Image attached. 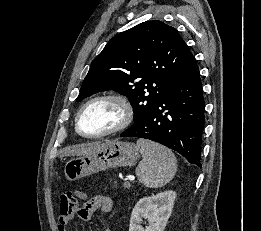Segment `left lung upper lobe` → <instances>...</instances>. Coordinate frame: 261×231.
<instances>
[{"instance_id":"1","label":"left lung upper lobe","mask_w":261,"mask_h":231,"mask_svg":"<svg viewBox=\"0 0 261 231\" xmlns=\"http://www.w3.org/2000/svg\"><path fill=\"white\" fill-rule=\"evenodd\" d=\"M195 64L175 28L157 20L146 21L106 44L92 61L76 100L104 90L118 91L128 97L137 122Z\"/></svg>"}]
</instances>
